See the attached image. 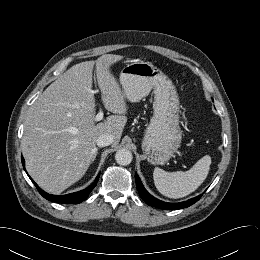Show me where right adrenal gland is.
<instances>
[{
  "mask_svg": "<svg viewBox=\"0 0 260 260\" xmlns=\"http://www.w3.org/2000/svg\"><path fill=\"white\" fill-rule=\"evenodd\" d=\"M96 156H97V152L95 153V155H94V157H93V159H92V163L94 162Z\"/></svg>",
  "mask_w": 260,
  "mask_h": 260,
  "instance_id": "2a0ac1e0",
  "label": "right adrenal gland"
}]
</instances>
